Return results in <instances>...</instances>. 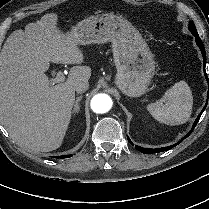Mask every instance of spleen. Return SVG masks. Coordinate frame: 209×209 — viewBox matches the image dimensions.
Masks as SVG:
<instances>
[{
	"label": "spleen",
	"instance_id": "obj_1",
	"mask_svg": "<svg viewBox=\"0 0 209 209\" xmlns=\"http://www.w3.org/2000/svg\"><path fill=\"white\" fill-rule=\"evenodd\" d=\"M192 107V92L185 81H179L165 92L160 102L149 104L147 109L160 123L180 125L189 120Z\"/></svg>",
	"mask_w": 209,
	"mask_h": 209
}]
</instances>
